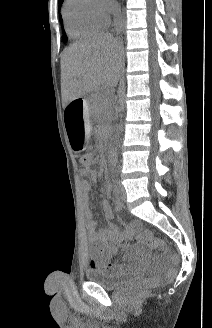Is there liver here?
Segmentation results:
<instances>
[{"mask_svg":"<svg viewBox=\"0 0 212 328\" xmlns=\"http://www.w3.org/2000/svg\"><path fill=\"white\" fill-rule=\"evenodd\" d=\"M121 43L112 34L101 33L73 43L61 58V89L64 102L116 86L121 69Z\"/></svg>","mask_w":212,"mask_h":328,"instance_id":"obj_1","label":"liver"}]
</instances>
